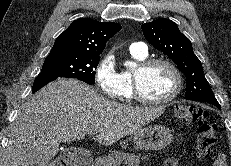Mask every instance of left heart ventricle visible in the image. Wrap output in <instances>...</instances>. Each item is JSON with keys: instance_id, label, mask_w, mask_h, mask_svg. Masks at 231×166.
<instances>
[{"instance_id": "left-heart-ventricle-1", "label": "left heart ventricle", "mask_w": 231, "mask_h": 166, "mask_svg": "<svg viewBox=\"0 0 231 166\" xmlns=\"http://www.w3.org/2000/svg\"><path fill=\"white\" fill-rule=\"evenodd\" d=\"M142 93L154 100L168 97L175 87V79L171 70L162 64H157L140 75Z\"/></svg>"}]
</instances>
